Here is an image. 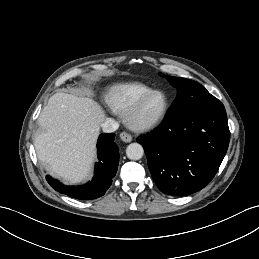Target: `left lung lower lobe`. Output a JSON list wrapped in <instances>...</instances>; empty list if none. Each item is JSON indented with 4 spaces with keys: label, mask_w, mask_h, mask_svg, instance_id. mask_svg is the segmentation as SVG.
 <instances>
[{
    "label": "left lung lower lobe",
    "mask_w": 259,
    "mask_h": 259,
    "mask_svg": "<svg viewBox=\"0 0 259 259\" xmlns=\"http://www.w3.org/2000/svg\"><path fill=\"white\" fill-rule=\"evenodd\" d=\"M229 140L221 102L166 117L158 128L137 139L144 147L154 182L173 196L204 188L217 173Z\"/></svg>",
    "instance_id": "1"
}]
</instances>
